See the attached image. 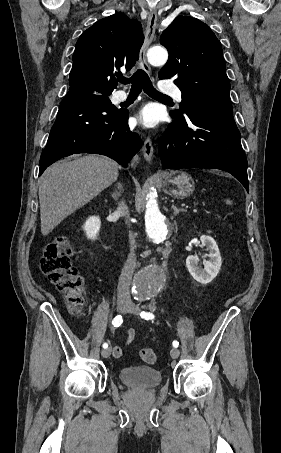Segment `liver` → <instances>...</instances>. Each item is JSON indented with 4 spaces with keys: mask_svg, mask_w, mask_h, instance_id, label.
Instances as JSON below:
<instances>
[{
    "mask_svg": "<svg viewBox=\"0 0 281 453\" xmlns=\"http://www.w3.org/2000/svg\"><path fill=\"white\" fill-rule=\"evenodd\" d=\"M118 174L117 162L98 154L58 160L48 166L39 186L42 235L52 233L61 220L117 180Z\"/></svg>",
    "mask_w": 281,
    "mask_h": 453,
    "instance_id": "1",
    "label": "liver"
}]
</instances>
